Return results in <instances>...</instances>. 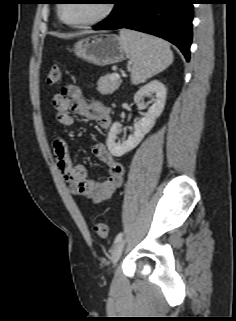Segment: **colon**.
<instances>
[{
	"instance_id": "obj_1",
	"label": "colon",
	"mask_w": 236,
	"mask_h": 321,
	"mask_svg": "<svg viewBox=\"0 0 236 321\" xmlns=\"http://www.w3.org/2000/svg\"><path fill=\"white\" fill-rule=\"evenodd\" d=\"M62 79V71L59 66H53L47 74L46 82L48 85H56ZM95 233L100 237H106L108 234L107 225L102 221H96L93 224Z\"/></svg>"
}]
</instances>
